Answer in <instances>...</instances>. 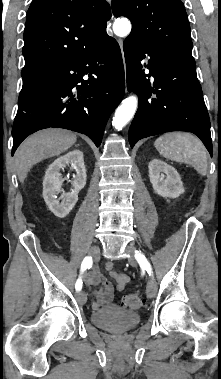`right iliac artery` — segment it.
I'll use <instances>...</instances> for the list:
<instances>
[{"instance_id":"1","label":"right iliac artery","mask_w":221,"mask_h":379,"mask_svg":"<svg viewBox=\"0 0 221 379\" xmlns=\"http://www.w3.org/2000/svg\"><path fill=\"white\" fill-rule=\"evenodd\" d=\"M92 257L86 256L81 264V273H83L86 269H89L92 266ZM76 291H80L82 289V279L81 276L77 279L75 284Z\"/></svg>"}]
</instances>
